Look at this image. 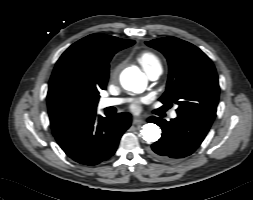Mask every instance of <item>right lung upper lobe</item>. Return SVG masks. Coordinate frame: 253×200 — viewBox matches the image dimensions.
Listing matches in <instances>:
<instances>
[{
    "label": "right lung upper lobe",
    "instance_id": "cb5924a9",
    "mask_svg": "<svg viewBox=\"0 0 253 200\" xmlns=\"http://www.w3.org/2000/svg\"><path fill=\"white\" fill-rule=\"evenodd\" d=\"M134 43L95 33L71 45L57 61L49 81L51 125L96 112L99 90L108 81L109 61Z\"/></svg>",
    "mask_w": 253,
    "mask_h": 200
}]
</instances>
